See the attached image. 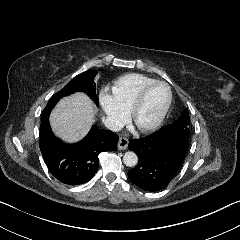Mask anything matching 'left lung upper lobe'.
Masks as SVG:
<instances>
[{
    "label": "left lung upper lobe",
    "mask_w": 240,
    "mask_h": 240,
    "mask_svg": "<svg viewBox=\"0 0 240 240\" xmlns=\"http://www.w3.org/2000/svg\"><path fill=\"white\" fill-rule=\"evenodd\" d=\"M173 126L182 128L184 130L190 131L189 130V125H190V117H189V112L187 109H185L181 116L172 123Z\"/></svg>",
    "instance_id": "obj_1"
}]
</instances>
